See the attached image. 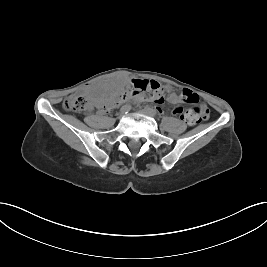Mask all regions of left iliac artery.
<instances>
[{
  "label": "left iliac artery",
  "instance_id": "left-iliac-artery-1",
  "mask_svg": "<svg viewBox=\"0 0 267 267\" xmlns=\"http://www.w3.org/2000/svg\"><path fill=\"white\" fill-rule=\"evenodd\" d=\"M145 109H146L149 113H151L153 116H156V115H157L156 111H155L153 108L146 107Z\"/></svg>",
  "mask_w": 267,
  "mask_h": 267
}]
</instances>
